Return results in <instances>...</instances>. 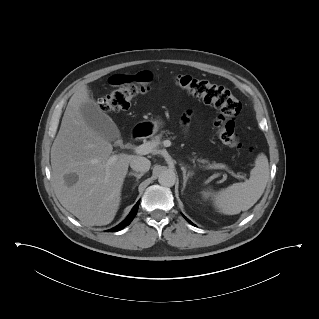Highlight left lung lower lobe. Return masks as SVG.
<instances>
[{"label": "left lung lower lobe", "instance_id": "0a47b994", "mask_svg": "<svg viewBox=\"0 0 319 319\" xmlns=\"http://www.w3.org/2000/svg\"><path fill=\"white\" fill-rule=\"evenodd\" d=\"M186 220L189 222V223H191L187 218H186ZM192 224V223H191Z\"/></svg>", "mask_w": 319, "mask_h": 319}]
</instances>
